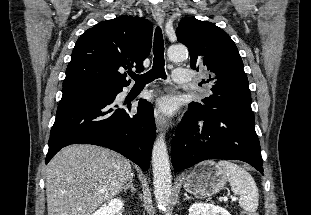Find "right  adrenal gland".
I'll return each instance as SVG.
<instances>
[{
    "mask_svg": "<svg viewBox=\"0 0 311 215\" xmlns=\"http://www.w3.org/2000/svg\"><path fill=\"white\" fill-rule=\"evenodd\" d=\"M128 189H131L132 193L136 191V188L134 187V184H133V175L130 178L129 183L125 186L124 192H126Z\"/></svg>",
    "mask_w": 311,
    "mask_h": 215,
    "instance_id": "2a0ac1e0",
    "label": "right adrenal gland"
}]
</instances>
